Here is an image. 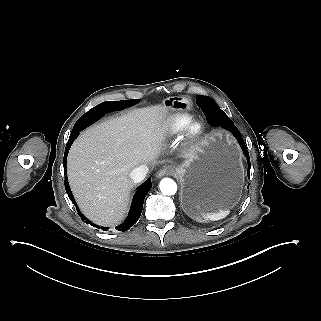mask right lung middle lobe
Masks as SVG:
<instances>
[{"label":"right lung middle lobe","instance_id":"obj_1","mask_svg":"<svg viewBox=\"0 0 321 321\" xmlns=\"http://www.w3.org/2000/svg\"><path fill=\"white\" fill-rule=\"evenodd\" d=\"M137 102H139L138 99H133V100H122V101H107V102H103L99 105L96 106V108H100V107H108V106H112V105H120V104H136Z\"/></svg>","mask_w":321,"mask_h":321}]
</instances>
